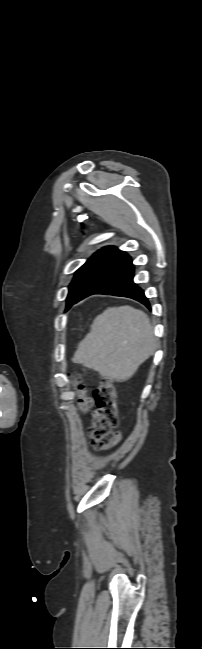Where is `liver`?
<instances>
[{
    "instance_id": "liver-1",
    "label": "liver",
    "mask_w": 202,
    "mask_h": 649,
    "mask_svg": "<svg viewBox=\"0 0 202 649\" xmlns=\"http://www.w3.org/2000/svg\"><path fill=\"white\" fill-rule=\"evenodd\" d=\"M155 349L156 339L146 313L130 306L112 307L95 318L72 361L105 378L124 382Z\"/></svg>"
}]
</instances>
